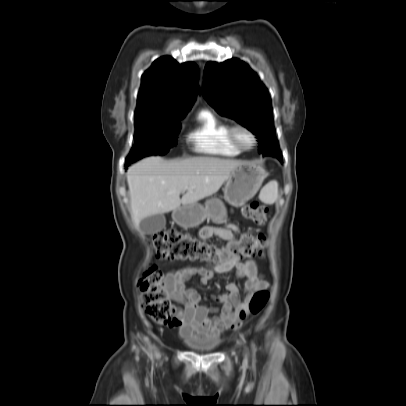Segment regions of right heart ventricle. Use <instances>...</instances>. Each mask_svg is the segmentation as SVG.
Returning a JSON list of instances; mask_svg holds the SVG:
<instances>
[{
    "label": "right heart ventricle",
    "mask_w": 406,
    "mask_h": 406,
    "mask_svg": "<svg viewBox=\"0 0 406 406\" xmlns=\"http://www.w3.org/2000/svg\"><path fill=\"white\" fill-rule=\"evenodd\" d=\"M229 124L208 109L196 116V123L187 139L195 151L205 154L236 156L241 153L229 138Z\"/></svg>",
    "instance_id": "1"
}]
</instances>
